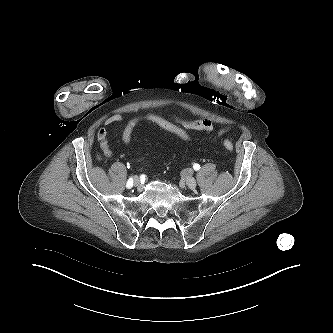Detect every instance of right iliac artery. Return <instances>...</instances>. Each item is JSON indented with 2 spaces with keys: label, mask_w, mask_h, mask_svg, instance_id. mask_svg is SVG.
<instances>
[{
  "label": "right iliac artery",
  "mask_w": 333,
  "mask_h": 333,
  "mask_svg": "<svg viewBox=\"0 0 333 333\" xmlns=\"http://www.w3.org/2000/svg\"><path fill=\"white\" fill-rule=\"evenodd\" d=\"M132 186H133V179L129 178V180L127 181L126 187L130 189Z\"/></svg>",
  "instance_id": "82829eb1"
}]
</instances>
